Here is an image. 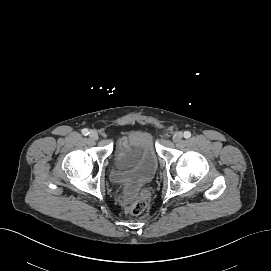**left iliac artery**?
I'll list each match as a JSON object with an SVG mask.
<instances>
[{"instance_id":"44dca946","label":"left iliac artery","mask_w":271,"mask_h":271,"mask_svg":"<svg viewBox=\"0 0 271 271\" xmlns=\"http://www.w3.org/2000/svg\"><path fill=\"white\" fill-rule=\"evenodd\" d=\"M191 137V132L190 131H185L184 132V138L188 139Z\"/></svg>"}]
</instances>
